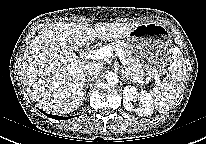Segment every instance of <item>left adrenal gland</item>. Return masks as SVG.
<instances>
[{
    "instance_id": "left-adrenal-gland-1",
    "label": "left adrenal gland",
    "mask_w": 206,
    "mask_h": 144,
    "mask_svg": "<svg viewBox=\"0 0 206 144\" xmlns=\"http://www.w3.org/2000/svg\"><path fill=\"white\" fill-rule=\"evenodd\" d=\"M123 78L126 79V80H128V81L133 82V81L131 80V78H130L128 75H126V74L123 75Z\"/></svg>"
}]
</instances>
